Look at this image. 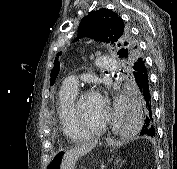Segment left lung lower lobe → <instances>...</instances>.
Masks as SVG:
<instances>
[{"label":"left lung lower lobe","instance_id":"1","mask_svg":"<svg viewBox=\"0 0 177 169\" xmlns=\"http://www.w3.org/2000/svg\"><path fill=\"white\" fill-rule=\"evenodd\" d=\"M128 66L136 83L138 97L145 109V123L140 131V136L145 135L154 137L156 135V130L153 120L149 76L146 62L143 57L139 56L135 58L132 63H129Z\"/></svg>","mask_w":177,"mask_h":169}]
</instances>
